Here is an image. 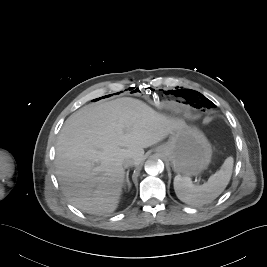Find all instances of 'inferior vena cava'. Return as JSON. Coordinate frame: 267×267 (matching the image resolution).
Returning <instances> with one entry per match:
<instances>
[{
    "label": "inferior vena cava",
    "mask_w": 267,
    "mask_h": 267,
    "mask_svg": "<svg viewBox=\"0 0 267 267\" xmlns=\"http://www.w3.org/2000/svg\"><path fill=\"white\" fill-rule=\"evenodd\" d=\"M135 165V162L132 160V159H130V158H126L124 161H123V166L125 167V168H127V167H131V166H134Z\"/></svg>",
    "instance_id": "1"
}]
</instances>
